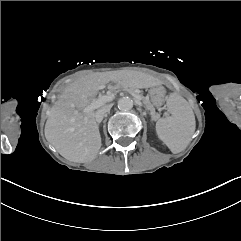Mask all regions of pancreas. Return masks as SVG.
Listing matches in <instances>:
<instances>
[{"label":"pancreas","instance_id":"cf45deb5","mask_svg":"<svg viewBox=\"0 0 241 241\" xmlns=\"http://www.w3.org/2000/svg\"><path fill=\"white\" fill-rule=\"evenodd\" d=\"M125 88V87H124ZM129 90H131L132 92H134L135 90H133V88H128ZM137 92V96H142V102H145V106H148V111L149 113H154V108L153 106H150V100H148V97H145V95H143L142 93L138 92V91H135ZM129 93V92H128ZM131 95V94H130Z\"/></svg>","mask_w":241,"mask_h":241}]
</instances>
